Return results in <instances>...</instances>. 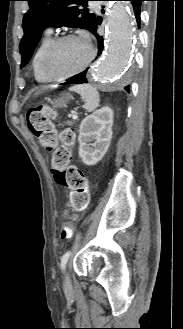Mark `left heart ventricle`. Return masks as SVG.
<instances>
[{
	"label": "left heart ventricle",
	"instance_id": "1",
	"mask_svg": "<svg viewBox=\"0 0 183 329\" xmlns=\"http://www.w3.org/2000/svg\"><path fill=\"white\" fill-rule=\"evenodd\" d=\"M89 56V48L82 39L61 43L52 53L49 67L54 75H62L80 68Z\"/></svg>",
	"mask_w": 183,
	"mask_h": 329
}]
</instances>
